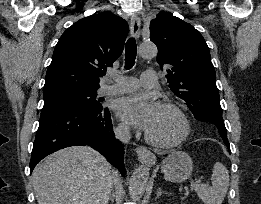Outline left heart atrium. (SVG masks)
I'll use <instances>...</instances> for the list:
<instances>
[{"mask_svg": "<svg viewBox=\"0 0 261 204\" xmlns=\"http://www.w3.org/2000/svg\"><path fill=\"white\" fill-rule=\"evenodd\" d=\"M156 106L147 95L132 94L120 98L116 104L117 115L138 129L147 131Z\"/></svg>", "mask_w": 261, "mask_h": 204, "instance_id": "left-heart-atrium-1", "label": "left heart atrium"}]
</instances>
